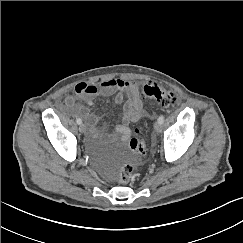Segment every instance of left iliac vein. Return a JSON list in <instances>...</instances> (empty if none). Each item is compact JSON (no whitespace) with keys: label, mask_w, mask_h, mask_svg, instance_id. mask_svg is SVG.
Wrapping results in <instances>:
<instances>
[{"label":"left iliac vein","mask_w":243,"mask_h":243,"mask_svg":"<svg viewBox=\"0 0 243 243\" xmlns=\"http://www.w3.org/2000/svg\"><path fill=\"white\" fill-rule=\"evenodd\" d=\"M154 129L157 133H159L162 129L161 123H159L158 121L154 124Z\"/></svg>","instance_id":"1"}]
</instances>
